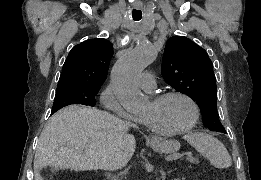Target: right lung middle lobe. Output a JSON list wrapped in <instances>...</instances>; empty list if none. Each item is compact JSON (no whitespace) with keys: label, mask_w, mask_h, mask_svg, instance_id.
Listing matches in <instances>:
<instances>
[{"label":"right lung middle lobe","mask_w":261,"mask_h":180,"mask_svg":"<svg viewBox=\"0 0 261 180\" xmlns=\"http://www.w3.org/2000/svg\"><path fill=\"white\" fill-rule=\"evenodd\" d=\"M100 86L88 85H68L57 87L52 113L71 104H83L94 106L95 95L98 93Z\"/></svg>","instance_id":"1"}]
</instances>
